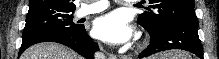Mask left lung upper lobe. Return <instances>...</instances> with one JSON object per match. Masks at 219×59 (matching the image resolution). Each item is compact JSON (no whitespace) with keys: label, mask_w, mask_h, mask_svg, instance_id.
Returning a JSON list of instances; mask_svg holds the SVG:
<instances>
[{"label":"left lung upper lobe","mask_w":219,"mask_h":59,"mask_svg":"<svg viewBox=\"0 0 219 59\" xmlns=\"http://www.w3.org/2000/svg\"><path fill=\"white\" fill-rule=\"evenodd\" d=\"M150 8L138 16V23L154 31L163 30L187 15H196L194 0H150Z\"/></svg>","instance_id":"1"}]
</instances>
